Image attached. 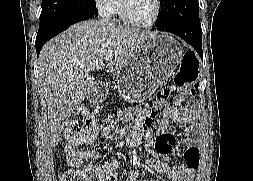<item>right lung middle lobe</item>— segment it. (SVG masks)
Instances as JSON below:
<instances>
[{
    "instance_id": "right-lung-middle-lobe-1",
    "label": "right lung middle lobe",
    "mask_w": 253,
    "mask_h": 181,
    "mask_svg": "<svg viewBox=\"0 0 253 181\" xmlns=\"http://www.w3.org/2000/svg\"><path fill=\"white\" fill-rule=\"evenodd\" d=\"M73 11L97 14L95 0H43L40 22L51 20Z\"/></svg>"
}]
</instances>
